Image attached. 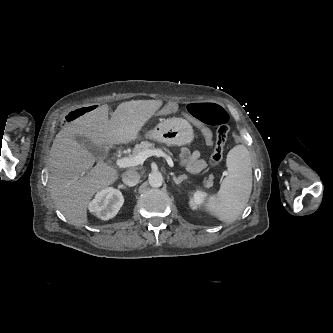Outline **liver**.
I'll return each instance as SVG.
<instances>
[{
	"label": "liver",
	"mask_w": 333,
	"mask_h": 333,
	"mask_svg": "<svg viewBox=\"0 0 333 333\" xmlns=\"http://www.w3.org/2000/svg\"><path fill=\"white\" fill-rule=\"evenodd\" d=\"M162 104L161 100L123 102L110 120L109 107L104 104L65 124L56 135L50 152L48 187L52 200L70 224H87V207L93 195L118 178L117 170L104 162L92 168L95 157L75 136L88 137L99 147L130 143Z\"/></svg>",
	"instance_id": "6515ba94"
}]
</instances>
